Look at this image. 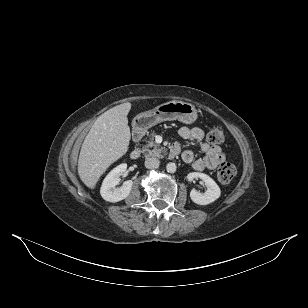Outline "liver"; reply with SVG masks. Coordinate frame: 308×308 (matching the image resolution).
<instances>
[{"label": "liver", "mask_w": 308, "mask_h": 308, "mask_svg": "<svg viewBox=\"0 0 308 308\" xmlns=\"http://www.w3.org/2000/svg\"><path fill=\"white\" fill-rule=\"evenodd\" d=\"M131 103L117 105L100 115L86 135L79 154L78 174L94 189L101 175L128 150L131 138L127 115Z\"/></svg>", "instance_id": "1"}]
</instances>
